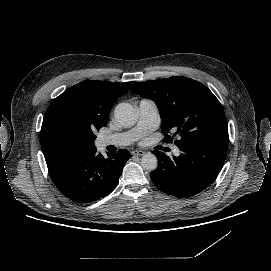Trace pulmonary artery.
<instances>
[{
	"mask_svg": "<svg viewBox=\"0 0 271 271\" xmlns=\"http://www.w3.org/2000/svg\"><path fill=\"white\" fill-rule=\"evenodd\" d=\"M160 117L157 104L148 99H142L138 107V122L137 125L130 131L102 135L96 139L95 145L97 149H105L109 146L123 147L130 145L143 137L144 135L154 131L159 125ZM174 155H179V149L174 147Z\"/></svg>",
	"mask_w": 271,
	"mask_h": 271,
	"instance_id": "e3ab8cb5",
	"label": "pulmonary artery"
}]
</instances>
